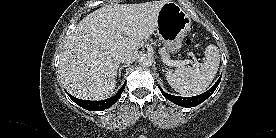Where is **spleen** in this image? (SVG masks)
I'll return each mask as SVG.
<instances>
[{
	"label": "spleen",
	"mask_w": 276,
	"mask_h": 138,
	"mask_svg": "<svg viewBox=\"0 0 276 138\" xmlns=\"http://www.w3.org/2000/svg\"><path fill=\"white\" fill-rule=\"evenodd\" d=\"M220 63L217 46L206 47L205 61L199 67H179L165 76L169 85L183 96H195L205 91L214 80Z\"/></svg>",
	"instance_id": "spleen-1"
}]
</instances>
